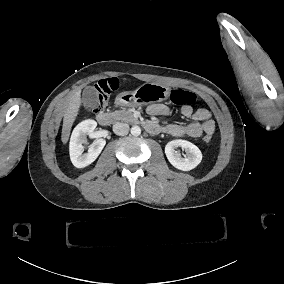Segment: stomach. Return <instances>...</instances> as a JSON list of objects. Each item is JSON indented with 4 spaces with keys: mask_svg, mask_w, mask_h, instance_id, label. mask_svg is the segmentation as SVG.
I'll use <instances>...</instances> for the list:
<instances>
[{
    "mask_svg": "<svg viewBox=\"0 0 284 284\" xmlns=\"http://www.w3.org/2000/svg\"><path fill=\"white\" fill-rule=\"evenodd\" d=\"M171 89L159 83H144L134 91H124L116 96L115 104L121 107H134L163 102L170 96Z\"/></svg>",
    "mask_w": 284,
    "mask_h": 284,
    "instance_id": "1",
    "label": "stomach"
}]
</instances>
